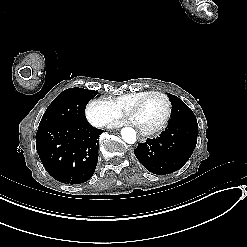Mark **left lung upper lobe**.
<instances>
[{
	"instance_id": "left-lung-upper-lobe-1",
	"label": "left lung upper lobe",
	"mask_w": 247,
	"mask_h": 247,
	"mask_svg": "<svg viewBox=\"0 0 247 247\" xmlns=\"http://www.w3.org/2000/svg\"><path fill=\"white\" fill-rule=\"evenodd\" d=\"M170 101L172 103V113H171V120H175L177 118H184V117H195L192 110L177 96L168 94Z\"/></svg>"
}]
</instances>
